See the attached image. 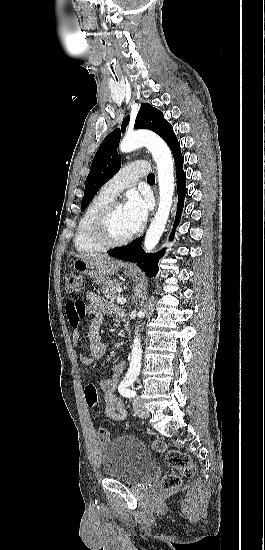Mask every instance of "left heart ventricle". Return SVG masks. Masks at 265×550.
I'll list each match as a JSON object with an SVG mask.
<instances>
[{
  "instance_id": "obj_1",
  "label": "left heart ventricle",
  "mask_w": 265,
  "mask_h": 550,
  "mask_svg": "<svg viewBox=\"0 0 265 550\" xmlns=\"http://www.w3.org/2000/svg\"><path fill=\"white\" fill-rule=\"evenodd\" d=\"M109 230L115 239L123 238L132 233L124 206L120 205L114 210L110 219Z\"/></svg>"
}]
</instances>
